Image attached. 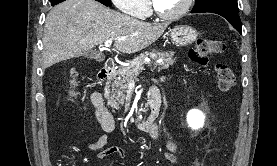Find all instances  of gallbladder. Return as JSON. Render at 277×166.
<instances>
[{
    "mask_svg": "<svg viewBox=\"0 0 277 166\" xmlns=\"http://www.w3.org/2000/svg\"><path fill=\"white\" fill-rule=\"evenodd\" d=\"M84 57L91 58V59H99L100 58V53L96 51H87L83 53Z\"/></svg>",
    "mask_w": 277,
    "mask_h": 166,
    "instance_id": "1",
    "label": "gallbladder"
}]
</instances>
